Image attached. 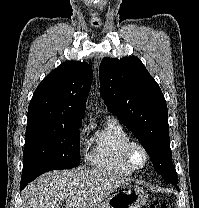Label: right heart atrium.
I'll return each instance as SVG.
<instances>
[{
    "label": "right heart atrium",
    "mask_w": 199,
    "mask_h": 208,
    "mask_svg": "<svg viewBox=\"0 0 199 208\" xmlns=\"http://www.w3.org/2000/svg\"><path fill=\"white\" fill-rule=\"evenodd\" d=\"M86 130H87V126H83L79 131V147H80V149H83V146H84L83 136H84Z\"/></svg>",
    "instance_id": "d8ad5b80"
}]
</instances>
